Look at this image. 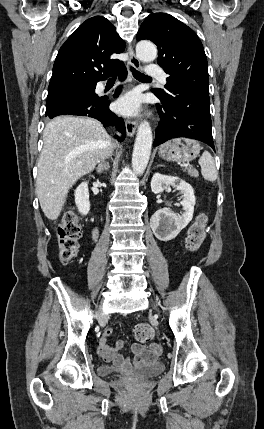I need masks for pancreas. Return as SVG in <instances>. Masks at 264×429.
Masks as SVG:
<instances>
[{
  "label": "pancreas",
  "mask_w": 264,
  "mask_h": 429,
  "mask_svg": "<svg viewBox=\"0 0 264 429\" xmlns=\"http://www.w3.org/2000/svg\"><path fill=\"white\" fill-rule=\"evenodd\" d=\"M188 174L192 177H198V172L196 170L188 169Z\"/></svg>",
  "instance_id": "1"
}]
</instances>
